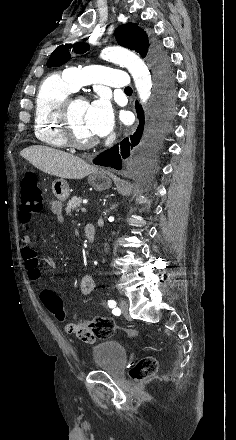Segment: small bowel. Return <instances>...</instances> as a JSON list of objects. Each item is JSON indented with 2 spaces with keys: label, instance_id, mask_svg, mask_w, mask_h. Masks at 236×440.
Segmentation results:
<instances>
[{
  "label": "small bowel",
  "instance_id": "small-bowel-1",
  "mask_svg": "<svg viewBox=\"0 0 236 440\" xmlns=\"http://www.w3.org/2000/svg\"><path fill=\"white\" fill-rule=\"evenodd\" d=\"M62 208L63 205L60 200L55 199L50 203V210L57 217L58 221H62ZM23 225L24 227H27L28 223L23 222ZM21 245L22 258L25 261L29 277L34 281H39L42 276V270L40 268L38 255L36 251L31 247V238L29 235H24L21 238ZM45 261L49 265H51L52 263L50 258H46ZM94 285L95 281L92 275H83L80 282V294L83 296L90 294L94 288ZM43 291L45 290H42V292ZM41 294L40 298L42 303L44 304ZM65 331L69 334L75 333L76 339H91L93 335L92 331L88 330V326L86 324L68 323L65 326Z\"/></svg>",
  "mask_w": 236,
  "mask_h": 440
}]
</instances>
